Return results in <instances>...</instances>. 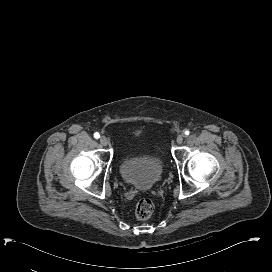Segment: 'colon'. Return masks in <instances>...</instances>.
Returning <instances> with one entry per match:
<instances>
[{"label":"colon","mask_w":272,"mask_h":272,"mask_svg":"<svg viewBox=\"0 0 272 272\" xmlns=\"http://www.w3.org/2000/svg\"><path fill=\"white\" fill-rule=\"evenodd\" d=\"M154 210V204L148 197H140L135 205V215L140 220L150 218Z\"/></svg>","instance_id":"5ec220e1"}]
</instances>
